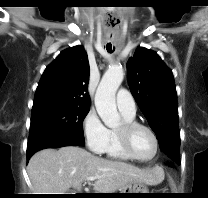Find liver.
Instances as JSON below:
<instances>
[{
    "instance_id": "1",
    "label": "liver",
    "mask_w": 208,
    "mask_h": 198,
    "mask_svg": "<svg viewBox=\"0 0 208 198\" xmlns=\"http://www.w3.org/2000/svg\"><path fill=\"white\" fill-rule=\"evenodd\" d=\"M27 170L34 194H66L70 187L81 191L88 177H96L94 190L100 193H114L133 182L154 185L163 180L154 169L106 160L76 146L41 150L31 157Z\"/></svg>"
}]
</instances>
